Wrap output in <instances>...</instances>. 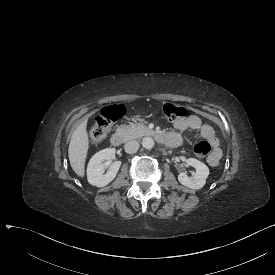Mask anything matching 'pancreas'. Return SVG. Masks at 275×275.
Wrapping results in <instances>:
<instances>
[{
    "mask_svg": "<svg viewBox=\"0 0 275 275\" xmlns=\"http://www.w3.org/2000/svg\"><path fill=\"white\" fill-rule=\"evenodd\" d=\"M116 134L123 138V140L129 141L137 139L145 135H151L152 130L143 125L142 123H131L130 125H121L116 129Z\"/></svg>",
    "mask_w": 275,
    "mask_h": 275,
    "instance_id": "obj_1",
    "label": "pancreas"
}]
</instances>
